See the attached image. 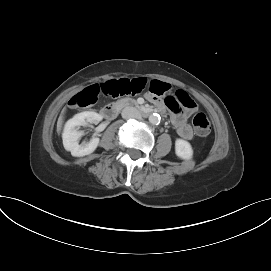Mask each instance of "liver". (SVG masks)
<instances>
[{
	"label": "liver",
	"mask_w": 271,
	"mask_h": 271,
	"mask_svg": "<svg viewBox=\"0 0 271 271\" xmlns=\"http://www.w3.org/2000/svg\"><path fill=\"white\" fill-rule=\"evenodd\" d=\"M62 123H63V115L60 116L58 123H57V131L58 132H60V130H61Z\"/></svg>",
	"instance_id": "obj_1"
}]
</instances>
